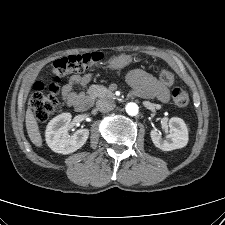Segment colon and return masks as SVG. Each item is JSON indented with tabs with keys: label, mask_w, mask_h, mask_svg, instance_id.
<instances>
[{
	"label": "colon",
	"mask_w": 225,
	"mask_h": 225,
	"mask_svg": "<svg viewBox=\"0 0 225 225\" xmlns=\"http://www.w3.org/2000/svg\"><path fill=\"white\" fill-rule=\"evenodd\" d=\"M103 56L100 52H89L77 55H70L52 63V68L56 80L68 73L84 72L90 67L98 66ZM159 76L163 83L172 84L175 80L174 74L167 69H160ZM49 90V93L46 92ZM172 96L175 104L179 107H185L189 102V97L182 87H174ZM59 102V89L56 83H46L38 81L34 85L33 93L30 98V106L34 111L36 118L44 122L49 119L55 111Z\"/></svg>",
	"instance_id": "obj_1"
}]
</instances>
